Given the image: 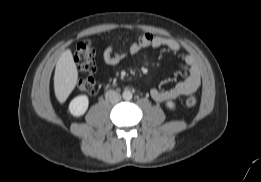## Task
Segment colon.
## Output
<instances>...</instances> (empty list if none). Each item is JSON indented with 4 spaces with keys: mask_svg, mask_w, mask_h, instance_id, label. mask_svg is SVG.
I'll return each mask as SVG.
<instances>
[{
    "mask_svg": "<svg viewBox=\"0 0 261 182\" xmlns=\"http://www.w3.org/2000/svg\"><path fill=\"white\" fill-rule=\"evenodd\" d=\"M74 59L78 67L86 73L84 77L79 79L78 88L84 93H92L95 89V80L93 77L95 62L92 44L89 41L80 43L77 46ZM185 103L188 107H193L196 105L197 99L195 96H189Z\"/></svg>",
    "mask_w": 261,
    "mask_h": 182,
    "instance_id": "colon-1",
    "label": "colon"
}]
</instances>
